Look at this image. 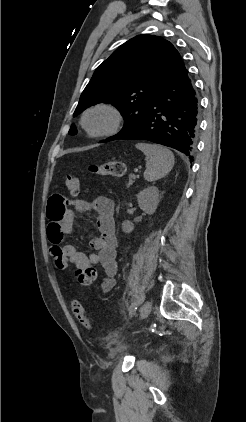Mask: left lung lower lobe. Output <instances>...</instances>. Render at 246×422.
I'll return each mask as SVG.
<instances>
[{"label":"left lung lower lobe","instance_id":"1","mask_svg":"<svg viewBox=\"0 0 246 422\" xmlns=\"http://www.w3.org/2000/svg\"><path fill=\"white\" fill-rule=\"evenodd\" d=\"M199 129V103L188 71L181 61L178 69L157 91L140 122L116 139H144L174 148L190 161Z\"/></svg>","mask_w":246,"mask_h":422}]
</instances>
